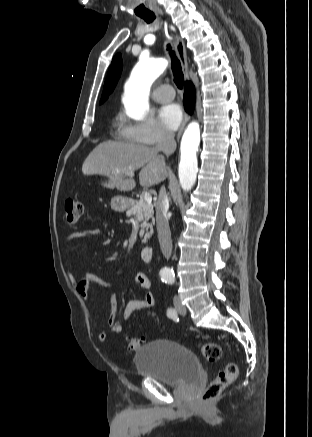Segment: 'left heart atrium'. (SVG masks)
<instances>
[{
  "label": "left heart atrium",
  "mask_w": 312,
  "mask_h": 437,
  "mask_svg": "<svg viewBox=\"0 0 312 437\" xmlns=\"http://www.w3.org/2000/svg\"><path fill=\"white\" fill-rule=\"evenodd\" d=\"M161 123L170 131L176 130L182 121V111L177 104H168L159 111Z\"/></svg>",
  "instance_id": "obj_1"
}]
</instances>
